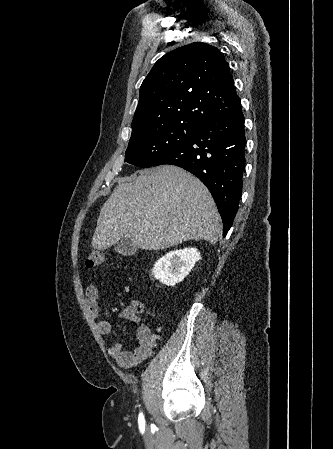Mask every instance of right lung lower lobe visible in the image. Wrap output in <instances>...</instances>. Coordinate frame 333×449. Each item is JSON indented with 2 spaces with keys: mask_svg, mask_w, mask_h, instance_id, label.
<instances>
[{
  "mask_svg": "<svg viewBox=\"0 0 333 449\" xmlns=\"http://www.w3.org/2000/svg\"><path fill=\"white\" fill-rule=\"evenodd\" d=\"M245 146L244 115L238 102L204 122L156 165L182 167L206 185L222 217L223 236L232 226L242 195Z\"/></svg>",
  "mask_w": 333,
  "mask_h": 449,
  "instance_id": "98d812e1",
  "label": "right lung lower lobe"
}]
</instances>
